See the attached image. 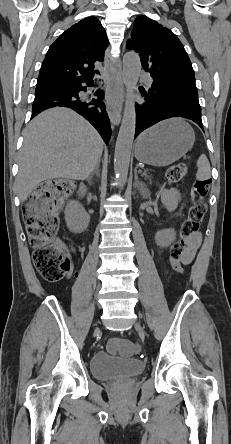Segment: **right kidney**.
I'll return each instance as SVG.
<instances>
[{
    "instance_id": "obj_1",
    "label": "right kidney",
    "mask_w": 231,
    "mask_h": 444,
    "mask_svg": "<svg viewBox=\"0 0 231 444\" xmlns=\"http://www.w3.org/2000/svg\"><path fill=\"white\" fill-rule=\"evenodd\" d=\"M64 213L67 227L71 232L81 233L89 224L90 216L76 201H69Z\"/></svg>"
}]
</instances>
